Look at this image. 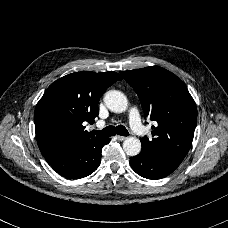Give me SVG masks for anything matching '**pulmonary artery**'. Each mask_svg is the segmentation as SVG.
Wrapping results in <instances>:
<instances>
[{"mask_svg":"<svg viewBox=\"0 0 228 228\" xmlns=\"http://www.w3.org/2000/svg\"><path fill=\"white\" fill-rule=\"evenodd\" d=\"M138 112L136 109H133L130 114L131 118V128L133 130H136L137 134L144 135L147 132L146 127L142 126V121L140 119H137ZM103 123H98L97 126H102Z\"/></svg>","mask_w":228,"mask_h":228,"instance_id":"obj_1","label":"pulmonary artery"}]
</instances>
